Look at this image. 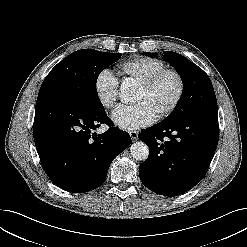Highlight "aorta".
I'll list each match as a JSON object with an SVG mask.
<instances>
[{
	"label": "aorta",
	"instance_id": "1",
	"mask_svg": "<svg viewBox=\"0 0 247 247\" xmlns=\"http://www.w3.org/2000/svg\"><path fill=\"white\" fill-rule=\"evenodd\" d=\"M133 97V90L127 84L120 87V98L124 103L129 102ZM131 156L137 161H145L149 156L148 146L141 141L135 142L130 147Z\"/></svg>",
	"mask_w": 247,
	"mask_h": 247
}]
</instances>
